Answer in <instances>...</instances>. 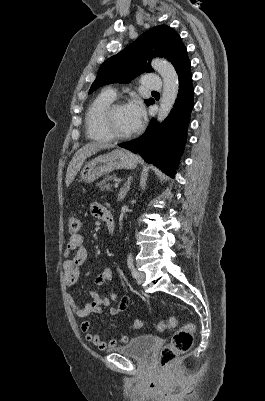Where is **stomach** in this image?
<instances>
[{"mask_svg": "<svg viewBox=\"0 0 265 401\" xmlns=\"http://www.w3.org/2000/svg\"><path fill=\"white\" fill-rule=\"evenodd\" d=\"M138 156L132 154L129 150H112L107 154L95 156L89 162H86L82 170H80L81 180L83 182H94L99 176L109 174L115 168H135L137 166Z\"/></svg>", "mask_w": 265, "mask_h": 401, "instance_id": "0dacf381", "label": "stomach"}]
</instances>
